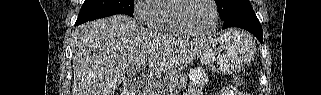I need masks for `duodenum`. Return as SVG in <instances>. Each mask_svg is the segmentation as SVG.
Returning a JSON list of instances; mask_svg holds the SVG:
<instances>
[{
  "mask_svg": "<svg viewBox=\"0 0 321 95\" xmlns=\"http://www.w3.org/2000/svg\"><path fill=\"white\" fill-rule=\"evenodd\" d=\"M122 95H131L129 92H122Z\"/></svg>",
  "mask_w": 321,
  "mask_h": 95,
  "instance_id": "obj_1",
  "label": "duodenum"
}]
</instances>
